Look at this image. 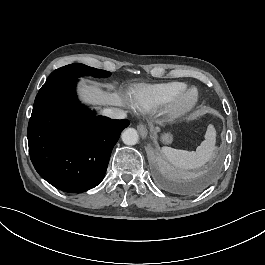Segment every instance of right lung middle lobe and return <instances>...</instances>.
Masks as SVG:
<instances>
[{
    "instance_id": "1",
    "label": "right lung middle lobe",
    "mask_w": 265,
    "mask_h": 265,
    "mask_svg": "<svg viewBox=\"0 0 265 265\" xmlns=\"http://www.w3.org/2000/svg\"><path fill=\"white\" fill-rule=\"evenodd\" d=\"M109 75L110 72L108 71L92 68L80 63H74L56 69L53 73L50 74L46 83L65 79L79 78L81 76H93L101 78L108 77Z\"/></svg>"
}]
</instances>
